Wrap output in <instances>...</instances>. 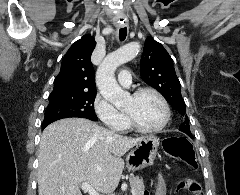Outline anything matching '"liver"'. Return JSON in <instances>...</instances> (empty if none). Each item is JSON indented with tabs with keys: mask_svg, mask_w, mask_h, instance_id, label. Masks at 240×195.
<instances>
[{
	"mask_svg": "<svg viewBox=\"0 0 240 195\" xmlns=\"http://www.w3.org/2000/svg\"><path fill=\"white\" fill-rule=\"evenodd\" d=\"M139 141L142 137L120 135L84 117L53 121L39 143V195H82V181L112 193L124 169L122 155Z\"/></svg>",
	"mask_w": 240,
	"mask_h": 195,
	"instance_id": "obj_1",
	"label": "liver"
}]
</instances>
